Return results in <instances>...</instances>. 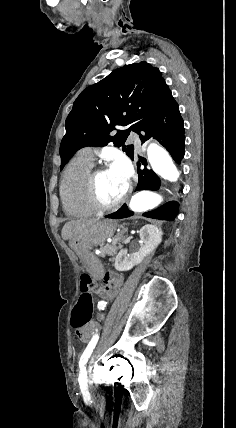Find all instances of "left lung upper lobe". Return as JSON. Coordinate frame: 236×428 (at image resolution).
<instances>
[{"mask_svg":"<svg viewBox=\"0 0 236 428\" xmlns=\"http://www.w3.org/2000/svg\"><path fill=\"white\" fill-rule=\"evenodd\" d=\"M174 98L158 68L143 61L114 70L84 89L69 113L60 145L61 169L79 149L113 142L133 160V145H124L130 131L161 114ZM114 125L129 127L112 133Z\"/></svg>","mask_w":236,"mask_h":428,"instance_id":"obj_1","label":"left lung upper lobe"}]
</instances>
